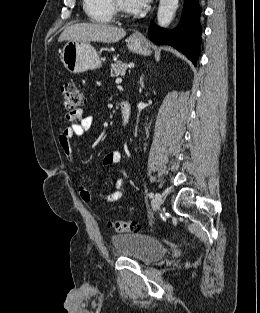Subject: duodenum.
I'll use <instances>...</instances> for the list:
<instances>
[{"instance_id": "1", "label": "duodenum", "mask_w": 260, "mask_h": 313, "mask_svg": "<svg viewBox=\"0 0 260 313\" xmlns=\"http://www.w3.org/2000/svg\"><path fill=\"white\" fill-rule=\"evenodd\" d=\"M121 117H122V124L123 126H127L129 124L131 118V106L130 104L123 100L121 102Z\"/></svg>"}]
</instances>
